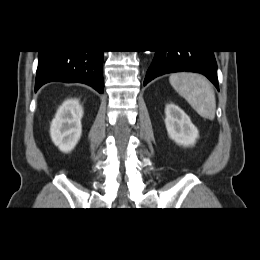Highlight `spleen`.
Returning <instances> with one entry per match:
<instances>
[{
  "instance_id": "3e777b00",
  "label": "spleen",
  "mask_w": 260,
  "mask_h": 260,
  "mask_svg": "<svg viewBox=\"0 0 260 260\" xmlns=\"http://www.w3.org/2000/svg\"><path fill=\"white\" fill-rule=\"evenodd\" d=\"M169 82L201 117L209 120L215 118V93L208 79L183 72L171 74Z\"/></svg>"
}]
</instances>
